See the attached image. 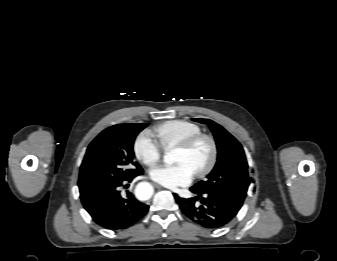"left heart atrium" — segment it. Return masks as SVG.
<instances>
[{
	"label": "left heart atrium",
	"instance_id": "obj_1",
	"mask_svg": "<svg viewBox=\"0 0 337 261\" xmlns=\"http://www.w3.org/2000/svg\"><path fill=\"white\" fill-rule=\"evenodd\" d=\"M149 175L155 182L169 187L186 186L193 180L194 172L183 163L175 165H159L153 167Z\"/></svg>",
	"mask_w": 337,
	"mask_h": 261
}]
</instances>
